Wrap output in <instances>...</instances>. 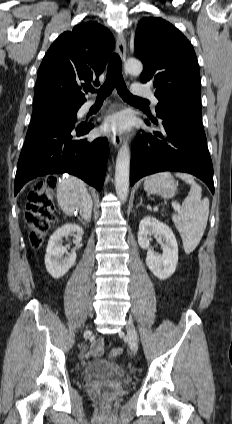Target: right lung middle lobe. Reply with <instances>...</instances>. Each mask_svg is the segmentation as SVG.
<instances>
[{
	"label": "right lung middle lobe",
	"instance_id": "dd1d6c3e",
	"mask_svg": "<svg viewBox=\"0 0 232 424\" xmlns=\"http://www.w3.org/2000/svg\"><path fill=\"white\" fill-rule=\"evenodd\" d=\"M80 106H66V105H47L39 108H34L32 113L31 122H46L50 120L53 113L64 115L66 118L76 120V113Z\"/></svg>",
	"mask_w": 232,
	"mask_h": 424
}]
</instances>
